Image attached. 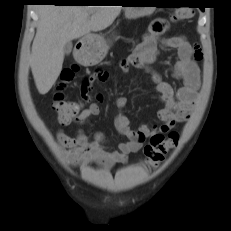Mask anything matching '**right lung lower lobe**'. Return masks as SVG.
Masks as SVG:
<instances>
[{
  "mask_svg": "<svg viewBox=\"0 0 231 231\" xmlns=\"http://www.w3.org/2000/svg\"><path fill=\"white\" fill-rule=\"evenodd\" d=\"M35 2L54 3L55 5H76L77 4L75 2H72V0H35Z\"/></svg>",
  "mask_w": 231,
  "mask_h": 231,
  "instance_id": "obj_1",
  "label": "right lung lower lobe"
}]
</instances>
